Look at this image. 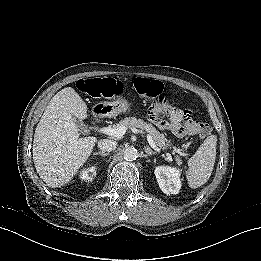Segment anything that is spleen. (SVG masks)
Segmentation results:
<instances>
[{
    "mask_svg": "<svg viewBox=\"0 0 261 261\" xmlns=\"http://www.w3.org/2000/svg\"><path fill=\"white\" fill-rule=\"evenodd\" d=\"M216 153L213 143L207 138L196 153L188 160L186 177L191 188H198L210 177Z\"/></svg>",
    "mask_w": 261,
    "mask_h": 261,
    "instance_id": "spleen-1",
    "label": "spleen"
}]
</instances>
